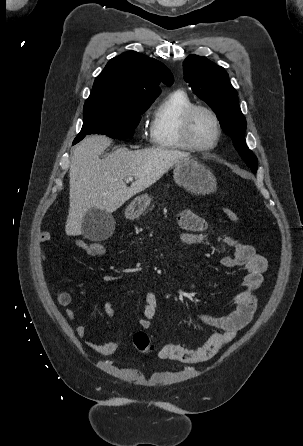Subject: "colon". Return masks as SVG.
<instances>
[{
    "instance_id": "obj_1",
    "label": "colon",
    "mask_w": 303,
    "mask_h": 446,
    "mask_svg": "<svg viewBox=\"0 0 303 446\" xmlns=\"http://www.w3.org/2000/svg\"><path fill=\"white\" fill-rule=\"evenodd\" d=\"M223 212L225 216L233 223H237L239 221L238 214L230 208H224ZM107 247L104 243L96 242L90 243L87 254L94 258H100L106 253ZM132 342L134 346L142 352H146L152 349L151 342L149 337L144 332H137L132 337Z\"/></svg>"
}]
</instances>
